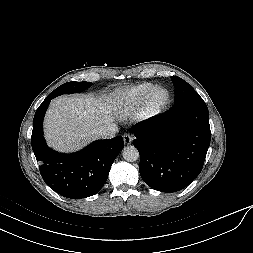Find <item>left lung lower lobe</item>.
<instances>
[{
	"instance_id": "left-lung-lower-lobe-1",
	"label": "left lung lower lobe",
	"mask_w": 253,
	"mask_h": 253,
	"mask_svg": "<svg viewBox=\"0 0 253 253\" xmlns=\"http://www.w3.org/2000/svg\"><path fill=\"white\" fill-rule=\"evenodd\" d=\"M143 181L161 192L188 186L201 172L210 145L209 112L193 97L132 129Z\"/></svg>"
}]
</instances>
